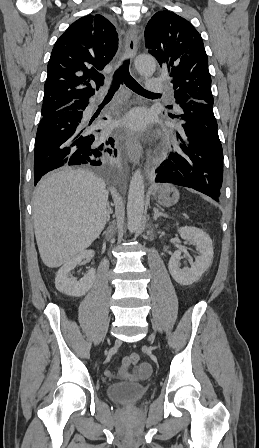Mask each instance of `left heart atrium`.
I'll list each match as a JSON object with an SVG mask.
<instances>
[{"label": "left heart atrium", "mask_w": 259, "mask_h": 448, "mask_svg": "<svg viewBox=\"0 0 259 448\" xmlns=\"http://www.w3.org/2000/svg\"><path fill=\"white\" fill-rule=\"evenodd\" d=\"M127 124L136 130H141L145 126V115L142 110H136L132 112L129 117L127 118ZM167 155L169 158L173 160H177L180 156V152L175 151H169L167 152Z\"/></svg>", "instance_id": "left-heart-atrium-1"}]
</instances>
